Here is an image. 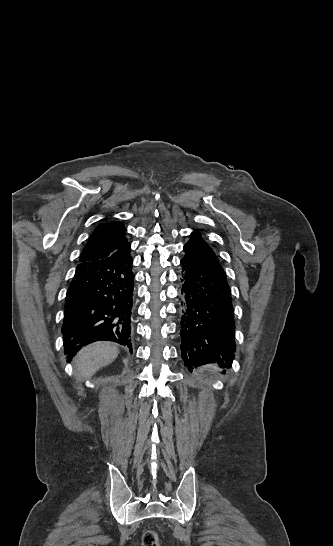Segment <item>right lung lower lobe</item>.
<instances>
[{
	"instance_id": "1",
	"label": "right lung lower lobe",
	"mask_w": 333,
	"mask_h": 546,
	"mask_svg": "<svg viewBox=\"0 0 333 546\" xmlns=\"http://www.w3.org/2000/svg\"><path fill=\"white\" fill-rule=\"evenodd\" d=\"M130 244L106 258L81 262L68 288L62 334L68 359L106 340L130 348L134 274Z\"/></svg>"
}]
</instances>
